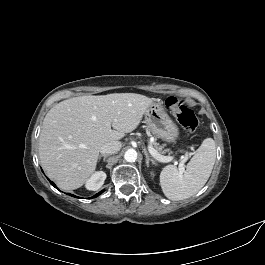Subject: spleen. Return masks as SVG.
Masks as SVG:
<instances>
[{
	"instance_id": "obj_1",
	"label": "spleen",
	"mask_w": 265,
	"mask_h": 265,
	"mask_svg": "<svg viewBox=\"0 0 265 265\" xmlns=\"http://www.w3.org/2000/svg\"><path fill=\"white\" fill-rule=\"evenodd\" d=\"M216 160V145L206 138L186 166L184 173L167 165L160 173V185L170 200H183L196 194L209 179Z\"/></svg>"
}]
</instances>
